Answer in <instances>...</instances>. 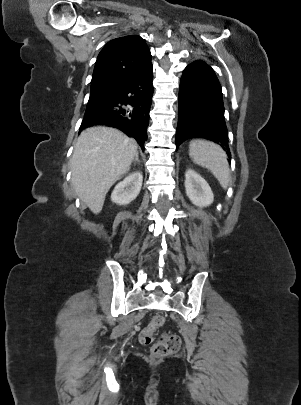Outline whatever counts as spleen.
<instances>
[{
    "mask_svg": "<svg viewBox=\"0 0 301 405\" xmlns=\"http://www.w3.org/2000/svg\"><path fill=\"white\" fill-rule=\"evenodd\" d=\"M189 155L194 163L210 170L223 188L228 187L229 165L222 148L212 142L194 140L189 145Z\"/></svg>",
    "mask_w": 301,
    "mask_h": 405,
    "instance_id": "3e777b00",
    "label": "spleen"
}]
</instances>
